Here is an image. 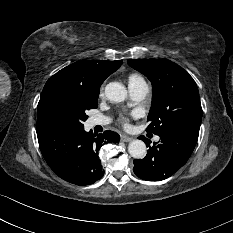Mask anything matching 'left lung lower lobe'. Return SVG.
<instances>
[{
    "label": "left lung lower lobe",
    "mask_w": 233,
    "mask_h": 233,
    "mask_svg": "<svg viewBox=\"0 0 233 233\" xmlns=\"http://www.w3.org/2000/svg\"><path fill=\"white\" fill-rule=\"evenodd\" d=\"M201 121H188L160 134V143L151 147L149 140L140 136L149 147L143 159L134 160L133 171L139 178L160 181L173 175L189 159L198 140Z\"/></svg>",
    "instance_id": "obj_1"
}]
</instances>
